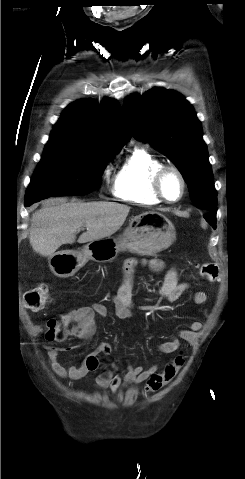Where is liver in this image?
<instances>
[{
	"instance_id": "obj_1",
	"label": "liver",
	"mask_w": 245,
	"mask_h": 479,
	"mask_svg": "<svg viewBox=\"0 0 245 479\" xmlns=\"http://www.w3.org/2000/svg\"><path fill=\"white\" fill-rule=\"evenodd\" d=\"M130 207L116 202L68 203L51 200L31 217L29 240L33 250L51 257L63 244H73L82 227L86 232L78 243L110 237L124 224Z\"/></svg>"
}]
</instances>
